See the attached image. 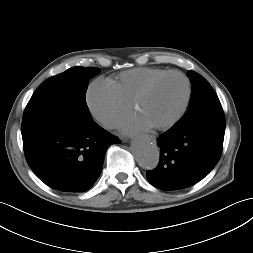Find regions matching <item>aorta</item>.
<instances>
[{
    "instance_id": "1",
    "label": "aorta",
    "mask_w": 253,
    "mask_h": 253,
    "mask_svg": "<svg viewBox=\"0 0 253 253\" xmlns=\"http://www.w3.org/2000/svg\"><path fill=\"white\" fill-rule=\"evenodd\" d=\"M132 153L137 163L144 169H155L160 160V151L154 139L140 137L132 142Z\"/></svg>"
}]
</instances>
